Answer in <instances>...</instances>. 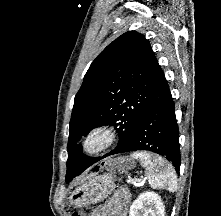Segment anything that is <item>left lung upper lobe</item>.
I'll return each instance as SVG.
<instances>
[{"instance_id":"obj_1","label":"left lung upper lobe","mask_w":221,"mask_h":216,"mask_svg":"<svg viewBox=\"0 0 221 216\" xmlns=\"http://www.w3.org/2000/svg\"><path fill=\"white\" fill-rule=\"evenodd\" d=\"M160 66L150 43L129 31L110 43L93 61L74 99L68 139L66 182L82 172L84 154L75 146L82 136L112 125L125 146L147 111Z\"/></svg>"}]
</instances>
